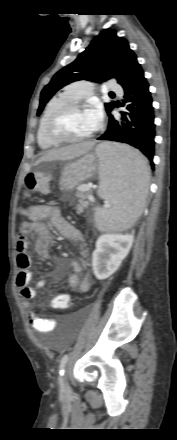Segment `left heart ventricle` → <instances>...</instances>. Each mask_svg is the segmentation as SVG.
<instances>
[{"label": "left heart ventricle", "instance_id": "obj_1", "mask_svg": "<svg viewBox=\"0 0 177 440\" xmlns=\"http://www.w3.org/2000/svg\"><path fill=\"white\" fill-rule=\"evenodd\" d=\"M61 133L68 138H82L92 132L87 111L77 110L70 112L61 122Z\"/></svg>", "mask_w": 177, "mask_h": 440}]
</instances>
